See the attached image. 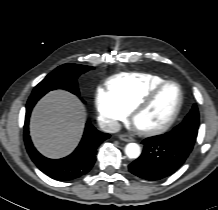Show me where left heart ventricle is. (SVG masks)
Wrapping results in <instances>:
<instances>
[{
	"label": "left heart ventricle",
	"mask_w": 218,
	"mask_h": 210,
	"mask_svg": "<svg viewBox=\"0 0 218 210\" xmlns=\"http://www.w3.org/2000/svg\"><path fill=\"white\" fill-rule=\"evenodd\" d=\"M178 102V87L174 84L165 86L153 103L137 115L135 126L139 129H153L162 126L173 115Z\"/></svg>",
	"instance_id": "obj_1"
}]
</instances>
